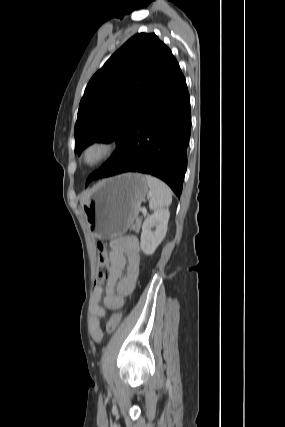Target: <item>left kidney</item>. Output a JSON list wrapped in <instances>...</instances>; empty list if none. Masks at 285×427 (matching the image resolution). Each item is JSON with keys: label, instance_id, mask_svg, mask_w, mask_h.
Returning a JSON list of instances; mask_svg holds the SVG:
<instances>
[{"label": "left kidney", "instance_id": "left-kidney-1", "mask_svg": "<svg viewBox=\"0 0 285 427\" xmlns=\"http://www.w3.org/2000/svg\"><path fill=\"white\" fill-rule=\"evenodd\" d=\"M169 216V211L162 209L148 216L143 222L140 246L146 255H152L165 238ZM154 227L155 230L152 231Z\"/></svg>", "mask_w": 285, "mask_h": 427}]
</instances>
